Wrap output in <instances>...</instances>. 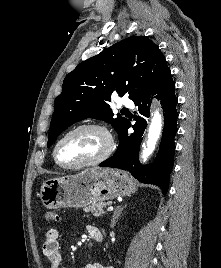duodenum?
<instances>
[{"instance_id": "1", "label": "duodenum", "mask_w": 221, "mask_h": 268, "mask_svg": "<svg viewBox=\"0 0 221 268\" xmlns=\"http://www.w3.org/2000/svg\"><path fill=\"white\" fill-rule=\"evenodd\" d=\"M93 238L96 241H101L102 240V234H101V232L95 233V235H94Z\"/></svg>"}]
</instances>
